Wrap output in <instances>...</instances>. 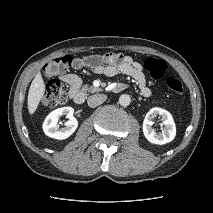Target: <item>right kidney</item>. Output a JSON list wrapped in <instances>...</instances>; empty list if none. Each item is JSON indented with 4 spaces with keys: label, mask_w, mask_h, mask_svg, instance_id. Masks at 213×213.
Here are the masks:
<instances>
[{
    "label": "right kidney",
    "mask_w": 213,
    "mask_h": 213,
    "mask_svg": "<svg viewBox=\"0 0 213 213\" xmlns=\"http://www.w3.org/2000/svg\"><path fill=\"white\" fill-rule=\"evenodd\" d=\"M74 109L72 107H62L53 110L44 120V133L54 139L63 140L72 135L78 127L76 118L73 117ZM65 115L69 120L65 123L66 127L59 129L58 121Z\"/></svg>",
    "instance_id": "ca27d5eb"
}]
</instances>
